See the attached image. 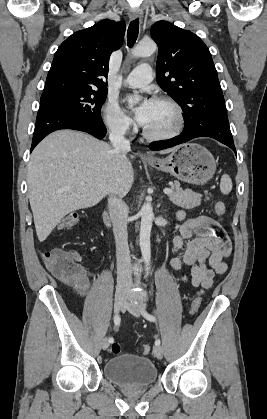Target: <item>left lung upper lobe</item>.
I'll return each mask as SVG.
<instances>
[{
  "label": "left lung upper lobe",
  "instance_id": "5c2ea615",
  "mask_svg": "<svg viewBox=\"0 0 267 419\" xmlns=\"http://www.w3.org/2000/svg\"><path fill=\"white\" fill-rule=\"evenodd\" d=\"M158 45L157 83L182 108L185 124L209 111L226 112L217 71L205 43L170 22L151 28Z\"/></svg>",
  "mask_w": 267,
  "mask_h": 419
}]
</instances>
